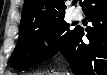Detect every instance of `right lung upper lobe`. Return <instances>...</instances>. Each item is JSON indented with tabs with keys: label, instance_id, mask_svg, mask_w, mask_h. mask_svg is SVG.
Here are the masks:
<instances>
[{
	"label": "right lung upper lobe",
	"instance_id": "cb5924a9",
	"mask_svg": "<svg viewBox=\"0 0 107 75\" xmlns=\"http://www.w3.org/2000/svg\"><path fill=\"white\" fill-rule=\"evenodd\" d=\"M64 1L65 0H25L20 25H41L63 18L66 9Z\"/></svg>",
	"mask_w": 107,
	"mask_h": 75
}]
</instances>
